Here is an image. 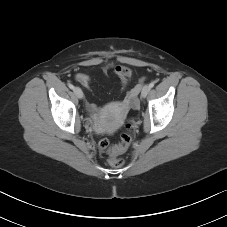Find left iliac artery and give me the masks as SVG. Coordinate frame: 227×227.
<instances>
[{
	"label": "left iliac artery",
	"mask_w": 227,
	"mask_h": 227,
	"mask_svg": "<svg viewBox=\"0 0 227 227\" xmlns=\"http://www.w3.org/2000/svg\"><path fill=\"white\" fill-rule=\"evenodd\" d=\"M149 87H150V88H153V87H154V82H151V83L149 84Z\"/></svg>",
	"instance_id": "44dca946"
}]
</instances>
